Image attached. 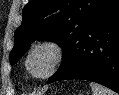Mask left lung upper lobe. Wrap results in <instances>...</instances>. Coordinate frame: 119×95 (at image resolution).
Here are the masks:
<instances>
[{
    "label": "left lung upper lobe",
    "instance_id": "left-lung-upper-lobe-1",
    "mask_svg": "<svg viewBox=\"0 0 119 95\" xmlns=\"http://www.w3.org/2000/svg\"><path fill=\"white\" fill-rule=\"evenodd\" d=\"M114 0H30L23 9L22 24L15 32L10 53L15 64L35 40H50L63 49L61 67L74 62L77 45L95 19Z\"/></svg>",
    "mask_w": 119,
    "mask_h": 95
}]
</instances>
